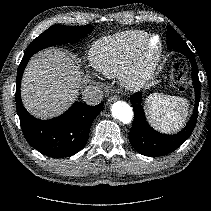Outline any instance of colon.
I'll list each match as a JSON object with an SVG mask.
<instances>
[{
    "instance_id": "colon-1",
    "label": "colon",
    "mask_w": 211,
    "mask_h": 211,
    "mask_svg": "<svg viewBox=\"0 0 211 211\" xmlns=\"http://www.w3.org/2000/svg\"><path fill=\"white\" fill-rule=\"evenodd\" d=\"M170 77L177 89L184 91L187 89L186 64L182 60H176L172 64Z\"/></svg>"
}]
</instances>
